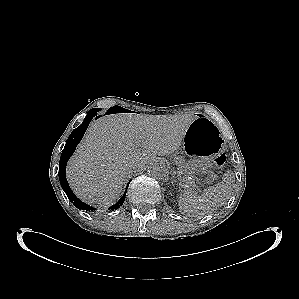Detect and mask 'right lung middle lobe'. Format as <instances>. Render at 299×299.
Masks as SVG:
<instances>
[{
	"label": "right lung middle lobe",
	"instance_id": "obj_1",
	"mask_svg": "<svg viewBox=\"0 0 299 299\" xmlns=\"http://www.w3.org/2000/svg\"><path fill=\"white\" fill-rule=\"evenodd\" d=\"M100 109H98V108H93V109H91L90 111H99ZM89 111V112H90Z\"/></svg>",
	"mask_w": 299,
	"mask_h": 299
}]
</instances>
